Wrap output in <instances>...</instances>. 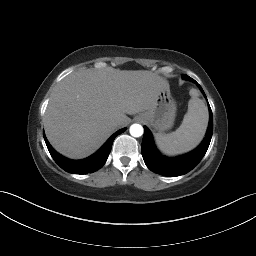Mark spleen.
Here are the masks:
<instances>
[{"label":"spleen","instance_id":"3e777b00","mask_svg":"<svg viewBox=\"0 0 256 256\" xmlns=\"http://www.w3.org/2000/svg\"><path fill=\"white\" fill-rule=\"evenodd\" d=\"M190 94L192 97L180 127L170 134L155 135L159 149L165 154L174 155L190 151L200 143L205 134L208 123L207 106L197 97V90L191 89Z\"/></svg>","mask_w":256,"mask_h":256}]
</instances>
